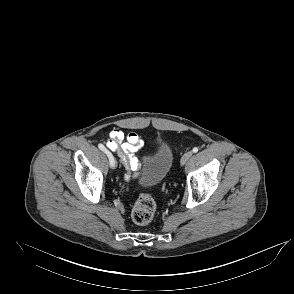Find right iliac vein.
I'll use <instances>...</instances> for the list:
<instances>
[{
    "label": "right iliac vein",
    "instance_id": "1",
    "mask_svg": "<svg viewBox=\"0 0 294 294\" xmlns=\"http://www.w3.org/2000/svg\"><path fill=\"white\" fill-rule=\"evenodd\" d=\"M116 165H117V164H116V161H115V164H114L113 166H111V168L114 169V168L116 167Z\"/></svg>",
    "mask_w": 294,
    "mask_h": 294
}]
</instances>
